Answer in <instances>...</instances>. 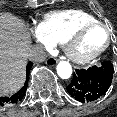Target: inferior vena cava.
Instances as JSON below:
<instances>
[{
  "mask_svg": "<svg viewBox=\"0 0 117 117\" xmlns=\"http://www.w3.org/2000/svg\"><path fill=\"white\" fill-rule=\"evenodd\" d=\"M28 59L34 62H43L47 58V53L43 46H32L27 53Z\"/></svg>",
  "mask_w": 117,
  "mask_h": 117,
  "instance_id": "inferior-vena-cava-1",
  "label": "inferior vena cava"
}]
</instances>
